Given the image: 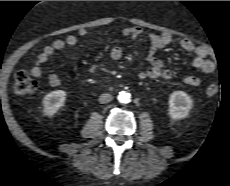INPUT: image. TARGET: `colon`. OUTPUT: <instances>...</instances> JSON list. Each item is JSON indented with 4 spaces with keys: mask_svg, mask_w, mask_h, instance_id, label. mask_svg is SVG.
Returning a JSON list of instances; mask_svg holds the SVG:
<instances>
[{
    "mask_svg": "<svg viewBox=\"0 0 230 186\" xmlns=\"http://www.w3.org/2000/svg\"><path fill=\"white\" fill-rule=\"evenodd\" d=\"M37 88V81L35 76L26 72L20 71L16 73L13 83V93L17 97H27L34 94ZM219 89L218 83L210 81L206 86V94L214 96Z\"/></svg>",
    "mask_w": 230,
    "mask_h": 186,
    "instance_id": "5ec220e1",
    "label": "colon"
}]
</instances>
